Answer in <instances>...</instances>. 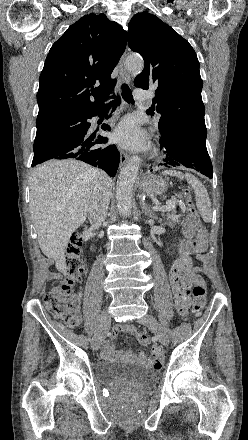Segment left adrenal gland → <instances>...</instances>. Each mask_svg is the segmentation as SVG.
I'll return each mask as SVG.
<instances>
[{"label":"left adrenal gland","mask_w":248,"mask_h":440,"mask_svg":"<svg viewBox=\"0 0 248 440\" xmlns=\"http://www.w3.org/2000/svg\"><path fill=\"white\" fill-rule=\"evenodd\" d=\"M140 205H141L142 212L144 213V215L149 216L150 218H157L144 201H141Z\"/></svg>","instance_id":"a2214340"}]
</instances>
